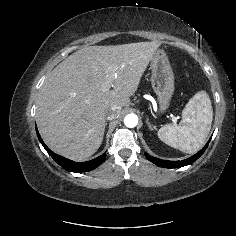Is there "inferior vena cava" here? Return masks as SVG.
Segmentation results:
<instances>
[{
	"label": "inferior vena cava",
	"mask_w": 236,
	"mask_h": 236,
	"mask_svg": "<svg viewBox=\"0 0 236 236\" xmlns=\"http://www.w3.org/2000/svg\"><path fill=\"white\" fill-rule=\"evenodd\" d=\"M119 111V107L112 106L106 111V119L113 120L117 117Z\"/></svg>",
	"instance_id": "1"
}]
</instances>
